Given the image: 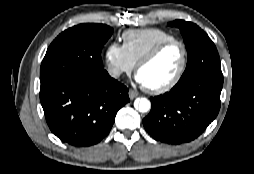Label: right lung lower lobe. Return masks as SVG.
<instances>
[{"label":"right lung lower lobe","instance_id":"obj_1","mask_svg":"<svg viewBox=\"0 0 254 174\" xmlns=\"http://www.w3.org/2000/svg\"><path fill=\"white\" fill-rule=\"evenodd\" d=\"M40 101L53 134L67 144L87 147L108 135L118 110L130 100L127 87L104 70L41 88Z\"/></svg>","mask_w":254,"mask_h":174}]
</instances>
